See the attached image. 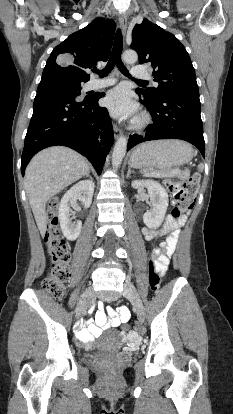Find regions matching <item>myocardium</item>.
<instances>
[{"instance_id":"1","label":"myocardium","mask_w":233,"mask_h":414,"mask_svg":"<svg viewBox=\"0 0 233 414\" xmlns=\"http://www.w3.org/2000/svg\"><path fill=\"white\" fill-rule=\"evenodd\" d=\"M150 121V118L146 114L140 115L135 121L133 122V127L135 129H142L144 128Z\"/></svg>"}]
</instances>
